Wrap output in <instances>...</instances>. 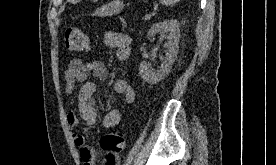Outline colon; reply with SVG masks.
<instances>
[{"label": "colon", "mask_w": 276, "mask_h": 165, "mask_svg": "<svg viewBox=\"0 0 276 165\" xmlns=\"http://www.w3.org/2000/svg\"><path fill=\"white\" fill-rule=\"evenodd\" d=\"M65 46L71 52L85 51L89 46L88 38L81 29L70 27L65 31ZM100 145L107 155L114 156L125 149L126 138L120 132L108 133L101 138Z\"/></svg>", "instance_id": "obj_1"}]
</instances>
